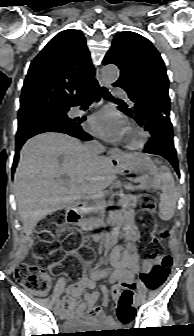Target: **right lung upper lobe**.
I'll return each instance as SVG.
<instances>
[{
    "label": "right lung upper lobe",
    "instance_id": "cb5924a9",
    "mask_svg": "<svg viewBox=\"0 0 194 336\" xmlns=\"http://www.w3.org/2000/svg\"><path fill=\"white\" fill-rule=\"evenodd\" d=\"M83 34L68 29L57 34L31 62L19 112L69 108L97 81Z\"/></svg>",
    "mask_w": 194,
    "mask_h": 336
}]
</instances>
